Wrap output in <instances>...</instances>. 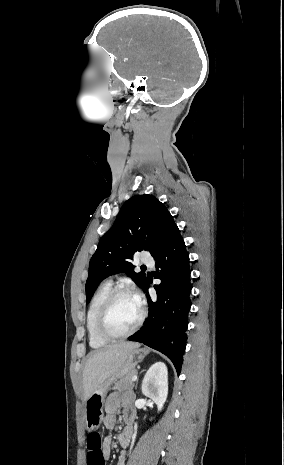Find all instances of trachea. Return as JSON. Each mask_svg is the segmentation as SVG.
Listing matches in <instances>:
<instances>
[{"label": "trachea", "instance_id": "obj_1", "mask_svg": "<svg viewBox=\"0 0 284 465\" xmlns=\"http://www.w3.org/2000/svg\"><path fill=\"white\" fill-rule=\"evenodd\" d=\"M141 269H142V270H146V266H145V265H142V266H141Z\"/></svg>", "mask_w": 284, "mask_h": 465}]
</instances>
